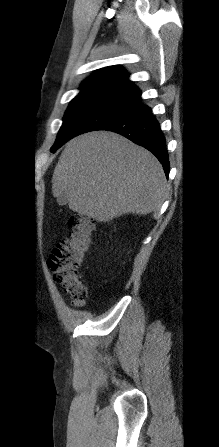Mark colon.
<instances>
[{"instance_id": "5ec220e1", "label": "colon", "mask_w": 219, "mask_h": 447, "mask_svg": "<svg viewBox=\"0 0 219 447\" xmlns=\"http://www.w3.org/2000/svg\"><path fill=\"white\" fill-rule=\"evenodd\" d=\"M71 232L52 250L48 265L54 279L61 284L74 302H83L86 287L80 280L83 265L91 244L94 223L83 215H73L69 219Z\"/></svg>"}]
</instances>
